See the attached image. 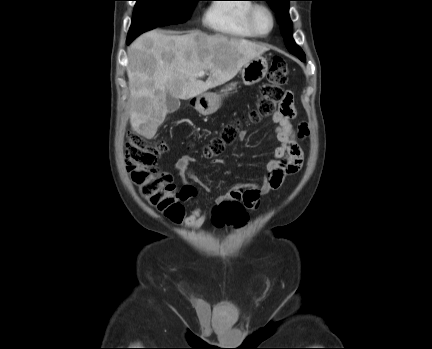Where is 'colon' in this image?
<instances>
[{"mask_svg": "<svg viewBox=\"0 0 432 349\" xmlns=\"http://www.w3.org/2000/svg\"><path fill=\"white\" fill-rule=\"evenodd\" d=\"M288 77L289 71L285 60L275 57L267 74V82L261 87L256 106L246 117L248 122H257L277 111H290L292 94L283 89ZM240 126L239 120L226 125L221 133L205 146L204 155L212 158L221 154L225 147L236 139ZM166 150L167 144L164 140L149 144L139 135H130L125 146L126 166L144 199L166 217L178 221L182 218L184 210L172 175L157 167L159 157ZM245 208L241 202L225 201L216 209L213 223L216 226L242 225L247 221Z\"/></svg>", "mask_w": 432, "mask_h": 349, "instance_id": "obj_1", "label": "colon"}]
</instances>
